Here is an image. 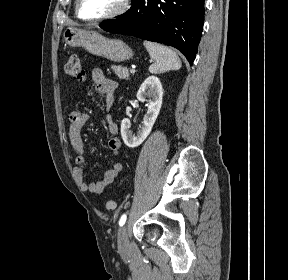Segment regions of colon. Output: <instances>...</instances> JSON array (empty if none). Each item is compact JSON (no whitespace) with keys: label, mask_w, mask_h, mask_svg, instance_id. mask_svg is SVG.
<instances>
[{"label":"colon","mask_w":288,"mask_h":280,"mask_svg":"<svg viewBox=\"0 0 288 280\" xmlns=\"http://www.w3.org/2000/svg\"><path fill=\"white\" fill-rule=\"evenodd\" d=\"M65 74L77 81H83L85 78L84 70L81 66L80 58L77 55H72L68 59L64 68ZM105 207L108 211H112L116 208V202L109 199L105 203Z\"/></svg>","instance_id":"obj_1"}]
</instances>
